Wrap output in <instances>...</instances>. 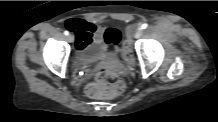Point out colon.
Here are the masks:
<instances>
[{
    "label": "colon",
    "mask_w": 218,
    "mask_h": 122,
    "mask_svg": "<svg viewBox=\"0 0 218 122\" xmlns=\"http://www.w3.org/2000/svg\"><path fill=\"white\" fill-rule=\"evenodd\" d=\"M124 41L122 31L117 27H108L104 31V47L99 49V55H94V65L102 66L104 61H109L119 52V46ZM123 57L127 61H133L132 43L128 38L122 48ZM125 89L123 80L115 73L106 69H100L94 82L90 83L86 92L93 98H112L120 95Z\"/></svg>",
    "instance_id": "colon-1"
}]
</instances>
